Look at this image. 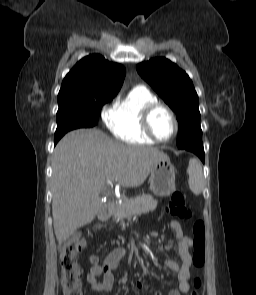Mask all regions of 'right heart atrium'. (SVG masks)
I'll list each match as a JSON object with an SVG mask.
<instances>
[{
  "mask_svg": "<svg viewBox=\"0 0 256 295\" xmlns=\"http://www.w3.org/2000/svg\"><path fill=\"white\" fill-rule=\"evenodd\" d=\"M107 112H108V111H107L106 107L103 108L102 113H103V115H104L105 118H106Z\"/></svg>",
  "mask_w": 256,
  "mask_h": 295,
  "instance_id": "right-heart-atrium-1",
  "label": "right heart atrium"
}]
</instances>
